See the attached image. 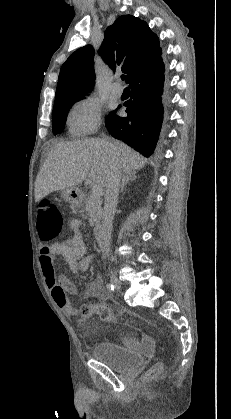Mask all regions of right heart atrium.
Masks as SVG:
<instances>
[{"instance_id": "1", "label": "right heart atrium", "mask_w": 231, "mask_h": 419, "mask_svg": "<svg viewBox=\"0 0 231 419\" xmlns=\"http://www.w3.org/2000/svg\"><path fill=\"white\" fill-rule=\"evenodd\" d=\"M102 106L93 96L76 101L69 115V126L73 133L87 136L95 132L101 123Z\"/></svg>"}]
</instances>
